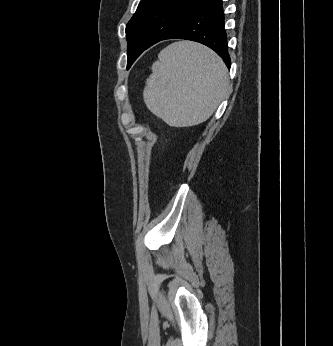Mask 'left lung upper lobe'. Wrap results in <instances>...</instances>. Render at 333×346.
<instances>
[{
  "label": "left lung upper lobe",
  "instance_id": "obj_1",
  "mask_svg": "<svg viewBox=\"0 0 333 346\" xmlns=\"http://www.w3.org/2000/svg\"><path fill=\"white\" fill-rule=\"evenodd\" d=\"M207 0H141L126 25L129 68L139 55L159 42Z\"/></svg>",
  "mask_w": 333,
  "mask_h": 346
}]
</instances>
